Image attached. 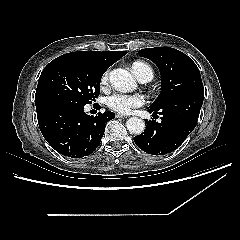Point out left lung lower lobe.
<instances>
[{
	"label": "left lung lower lobe",
	"instance_id": "obj_1",
	"mask_svg": "<svg viewBox=\"0 0 240 240\" xmlns=\"http://www.w3.org/2000/svg\"><path fill=\"white\" fill-rule=\"evenodd\" d=\"M204 91L179 96L161 108H147L162 115L161 122L145 120V131L134 137L135 144L146 153L165 155L178 148L196 127Z\"/></svg>",
	"mask_w": 240,
	"mask_h": 240
}]
</instances>
